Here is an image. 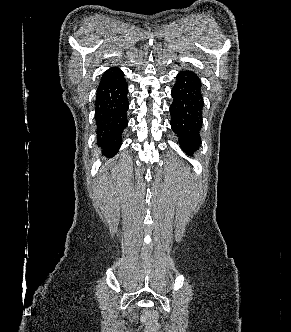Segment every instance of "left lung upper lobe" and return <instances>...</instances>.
<instances>
[{"label": "left lung upper lobe", "instance_id": "left-lung-upper-lobe-1", "mask_svg": "<svg viewBox=\"0 0 291 332\" xmlns=\"http://www.w3.org/2000/svg\"><path fill=\"white\" fill-rule=\"evenodd\" d=\"M180 145H181L182 148H184L186 150H191L192 149L191 144L188 143V142H181Z\"/></svg>", "mask_w": 291, "mask_h": 332}]
</instances>
